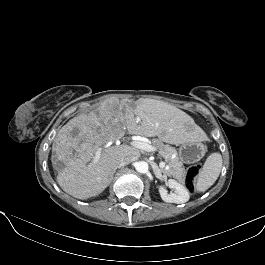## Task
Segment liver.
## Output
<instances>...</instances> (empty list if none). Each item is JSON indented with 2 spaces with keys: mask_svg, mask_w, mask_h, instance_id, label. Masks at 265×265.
I'll return each instance as SVG.
<instances>
[{
  "mask_svg": "<svg viewBox=\"0 0 265 265\" xmlns=\"http://www.w3.org/2000/svg\"><path fill=\"white\" fill-rule=\"evenodd\" d=\"M126 129L169 144L196 140L199 130L189 115L168 103L141 99L133 106L126 100L107 99L96 110L69 120L54 138L51 161L60 187L81 200L102 193L122 158L140 156L137 148L126 144L106 146L121 139ZM101 146L105 147L99 161L93 164L90 161Z\"/></svg>",
  "mask_w": 265,
  "mask_h": 265,
  "instance_id": "liver-1",
  "label": "liver"
}]
</instances>
